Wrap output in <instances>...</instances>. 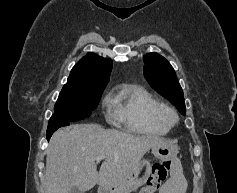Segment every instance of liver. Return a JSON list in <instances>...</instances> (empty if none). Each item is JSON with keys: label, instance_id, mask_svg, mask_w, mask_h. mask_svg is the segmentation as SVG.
Returning <instances> with one entry per match:
<instances>
[{"label": "liver", "instance_id": "liver-1", "mask_svg": "<svg viewBox=\"0 0 237 193\" xmlns=\"http://www.w3.org/2000/svg\"><path fill=\"white\" fill-rule=\"evenodd\" d=\"M165 140L135 136L98 124H75L56 131L47 149L45 193H68L77 187L87 191L96 184H113L129 175L144 154ZM105 155L99 172L95 161Z\"/></svg>", "mask_w": 237, "mask_h": 193}]
</instances>
